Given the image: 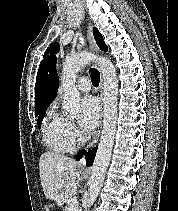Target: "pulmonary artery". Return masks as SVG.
<instances>
[{
	"mask_svg": "<svg viewBox=\"0 0 178 211\" xmlns=\"http://www.w3.org/2000/svg\"><path fill=\"white\" fill-rule=\"evenodd\" d=\"M91 81L88 77H81L77 81V89L82 92H88L90 90Z\"/></svg>",
	"mask_w": 178,
	"mask_h": 211,
	"instance_id": "e3ab8cb5",
	"label": "pulmonary artery"
}]
</instances>
